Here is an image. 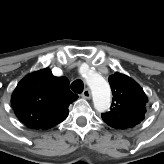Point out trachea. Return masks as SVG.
I'll list each match as a JSON object with an SVG mask.
<instances>
[{
	"instance_id": "obj_1",
	"label": "trachea",
	"mask_w": 164,
	"mask_h": 164,
	"mask_svg": "<svg viewBox=\"0 0 164 164\" xmlns=\"http://www.w3.org/2000/svg\"><path fill=\"white\" fill-rule=\"evenodd\" d=\"M83 88H84V84H83L82 80H79V79L75 80L71 84L72 91H74L76 93H81L83 91Z\"/></svg>"
}]
</instances>
